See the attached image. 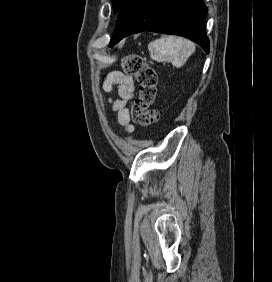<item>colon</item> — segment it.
I'll use <instances>...</instances> for the list:
<instances>
[{
	"label": "colon",
	"instance_id": "1",
	"mask_svg": "<svg viewBox=\"0 0 272 282\" xmlns=\"http://www.w3.org/2000/svg\"><path fill=\"white\" fill-rule=\"evenodd\" d=\"M125 74L134 76L139 93L131 107L132 120L140 125H149L159 119V113L152 109L156 97L157 76L154 69L138 54L127 55L122 62Z\"/></svg>",
	"mask_w": 272,
	"mask_h": 282
}]
</instances>
